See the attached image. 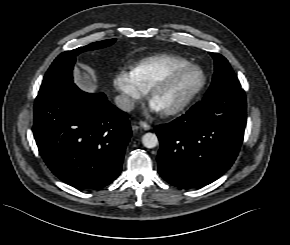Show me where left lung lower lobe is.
I'll return each instance as SVG.
<instances>
[{"label":"left lung lower lobe","instance_id":"0a47b994","mask_svg":"<svg viewBox=\"0 0 290 245\" xmlns=\"http://www.w3.org/2000/svg\"><path fill=\"white\" fill-rule=\"evenodd\" d=\"M246 118L245 92L236 88L204 97L186 114L157 126L160 175L179 188L215 181L238 155Z\"/></svg>","mask_w":290,"mask_h":245}]
</instances>
